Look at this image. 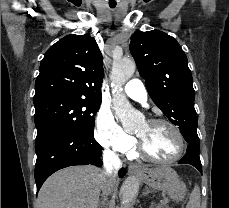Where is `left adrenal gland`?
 Returning <instances> with one entry per match:
<instances>
[{"mask_svg": "<svg viewBox=\"0 0 229 208\" xmlns=\"http://www.w3.org/2000/svg\"><path fill=\"white\" fill-rule=\"evenodd\" d=\"M147 192H143V196H146Z\"/></svg>", "mask_w": 229, "mask_h": 208, "instance_id": "obj_1", "label": "left adrenal gland"}]
</instances>
